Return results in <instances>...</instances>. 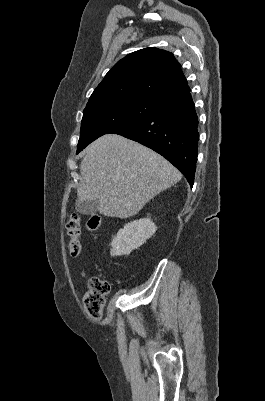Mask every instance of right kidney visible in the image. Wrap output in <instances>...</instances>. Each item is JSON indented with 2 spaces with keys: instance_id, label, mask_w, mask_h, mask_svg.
I'll return each mask as SVG.
<instances>
[{
  "instance_id": "obj_1",
  "label": "right kidney",
  "mask_w": 265,
  "mask_h": 401,
  "mask_svg": "<svg viewBox=\"0 0 265 401\" xmlns=\"http://www.w3.org/2000/svg\"><path fill=\"white\" fill-rule=\"evenodd\" d=\"M155 231L156 225L150 219H139V221L127 223L124 229L118 231L117 237L111 243L112 249L110 253L112 257L130 255L131 251L146 243L147 239H150Z\"/></svg>"
}]
</instances>
